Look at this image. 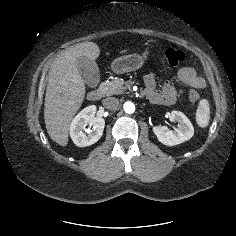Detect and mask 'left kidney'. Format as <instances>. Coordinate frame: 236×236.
Segmentation results:
<instances>
[{
    "label": "left kidney",
    "instance_id": "obj_1",
    "mask_svg": "<svg viewBox=\"0 0 236 236\" xmlns=\"http://www.w3.org/2000/svg\"><path fill=\"white\" fill-rule=\"evenodd\" d=\"M170 118L178 122V128L168 129L166 126H155L153 132L159 142L167 146L181 144L192 138L194 128L187 116L180 111H172Z\"/></svg>",
    "mask_w": 236,
    "mask_h": 236
}]
</instances>
